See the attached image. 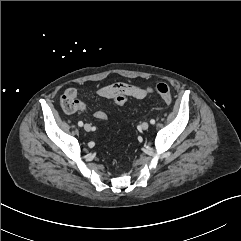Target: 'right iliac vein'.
<instances>
[{"instance_id":"1","label":"right iliac vein","mask_w":241,"mask_h":241,"mask_svg":"<svg viewBox=\"0 0 241 241\" xmlns=\"http://www.w3.org/2000/svg\"><path fill=\"white\" fill-rule=\"evenodd\" d=\"M84 129H85V131L89 132L91 130V125L86 123L84 125Z\"/></svg>"}]
</instances>
